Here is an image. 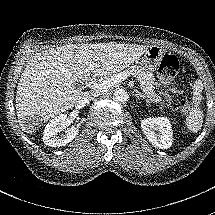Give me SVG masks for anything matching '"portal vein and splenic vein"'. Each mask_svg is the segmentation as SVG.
I'll use <instances>...</instances> for the list:
<instances>
[{"label":"portal vein and splenic vein","mask_w":215,"mask_h":215,"mask_svg":"<svg viewBox=\"0 0 215 215\" xmlns=\"http://www.w3.org/2000/svg\"><path fill=\"white\" fill-rule=\"evenodd\" d=\"M130 74L127 71L121 72L119 74L110 76L103 80L102 82L89 81L86 82V87H90L97 90H107L117 83H120L124 79L128 78Z\"/></svg>","instance_id":"1"}]
</instances>
